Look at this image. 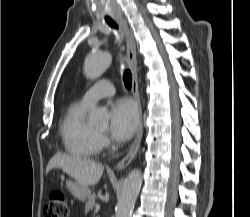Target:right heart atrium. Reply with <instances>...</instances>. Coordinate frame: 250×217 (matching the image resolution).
Masks as SVG:
<instances>
[{
  "label": "right heart atrium",
  "mask_w": 250,
  "mask_h": 217,
  "mask_svg": "<svg viewBox=\"0 0 250 217\" xmlns=\"http://www.w3.org/2000/svg\"><path fill=\"white\" fill-rule=\"evenodd\" d=\"M109 142H108V139L101 135L99 136V146H100V149H104L108 146Z\"/></svg>",
  "instance_id": "right-heart-atrium-1"
}]
</instances>
